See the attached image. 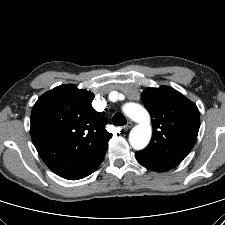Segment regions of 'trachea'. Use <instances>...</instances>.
Listing matches in <instances>:
<instances>
[{"instance_id": "obj_1", "label": "trachea", "mask_w": 225, "mask_h": 225, "mask_svg": "<svg viewBox=\"0 0 225 225\" xmlns=\"http://www.w3.org/2000/svg\"><path fill=\"white\" fill-rule=\"evenodd\" d=\"M127 123V120L125 118V116L121 113H116L114 116H113V124L115 126H123Z\"/></svg>"}]
</instances>
